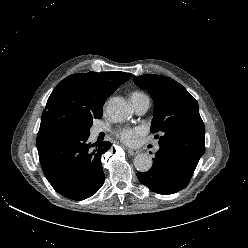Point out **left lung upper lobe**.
I'll return each instance as SVG.
<instances>
[{
  "label": "left lung upper lobe",
  "mask_w": 248,
  "mask_h": 248,
  "mask_svg": "<svg viewBox=\"0 0 248 248\" xmlns=\"http://www.w3.org/2000/svg\"><path fill=\"white\" fill-rule=\"evenodd\" d=\"M154 101L151 132L159 133V145L196 165L205 152V127L197 101L178 82L163 75L133 77ZM159 137V135H156Z\"/></svg>",
  "instance_id": "obj_1"
}]
</instances>
